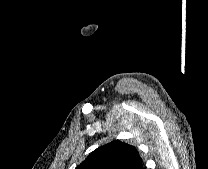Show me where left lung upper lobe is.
<instances>
[{
    "mask_svg": "<svg viewBox=\"0 0 208 169\" xmlns=\"http://www.w3.org/2000/svg\"><path fill=\"white\" fill-rule=\"evenodd\" d=\"M75 169H145L137 149L114 140L95 149Z\"/></svg>",
    "mask_w": 208,
    "mask_h": 169,
    "instance_id": "1",
    "label": "left lung upper lobe"
}]
</instances>
